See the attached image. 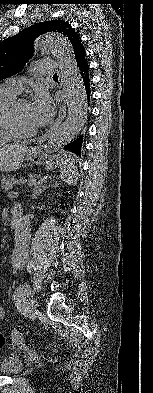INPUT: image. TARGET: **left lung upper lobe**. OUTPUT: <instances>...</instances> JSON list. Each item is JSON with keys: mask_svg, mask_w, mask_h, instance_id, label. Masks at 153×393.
<instances>
[{"mask_svg": "<svg viewBox=\"0 0 153 393\" xmlns=\"http://www.w3.org/2000/svg\"><path fill=\"white\" fill-rule=\"evenodd\" d=\"M59 32L70 40L75 57L85 52L79 34L64 20L36 23L0 42V80L21 71L33 55V41L42 33Z\"/></svg>", "mask_w": 153, "mask_h": 393, "instance_id": "1", "label": "left lung upper lobe"}]
</instances>
